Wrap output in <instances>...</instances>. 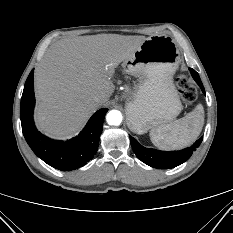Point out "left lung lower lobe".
<instances>
[{
  "label": "left lung lower lobe",
  "mask_w": 233,
  "mask_h": 233,
  "mask_svg": "<svg viewBox=\"0 0 233 233\" xmlns=\"http://www.w3.org/2000/svg\"><path fill=\"white\" fill-rule=\"evenodd\" d=\"M190 70L194 80L198 83L202 92L205 94V90L198 73L194 69ZM129 137L136 156L145 164L158 169L174 168L184 163L191 157L192 153L196 150V148L199 147L202 142V138H200L191 147L180 151L164 152L154 149H147L141 146L135 138L132 136Z\"/></svg>",
  "instance_id": "0a47b994"
}]
</instances>
